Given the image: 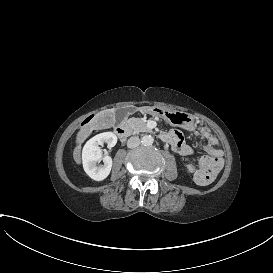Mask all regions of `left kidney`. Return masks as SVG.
<instances>
[{
	"instance_id": "5707ae66",
	"label": "left kidney",
	"mask_w": 273,
	"mask_h": 273,
	"mask_svg": "<svg viewBox=\"0 0 273 273\" xmlns=\"http://www.w3.org/2000/svg\"><path fill=\"white\" fill-rule=\"evenodd\" d=\"M181 172H185V168L183 166L180 167Z\"/></svg>"
}]
</instances>
